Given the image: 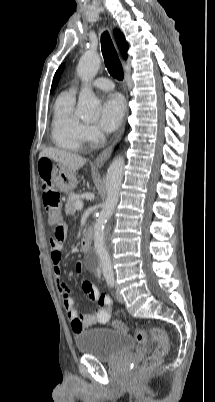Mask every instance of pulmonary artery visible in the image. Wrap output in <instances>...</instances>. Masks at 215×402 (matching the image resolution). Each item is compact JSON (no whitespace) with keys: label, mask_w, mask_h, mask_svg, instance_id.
Returning <instances> with one entry per match:
<instances>
[{"label":"pulmonary artery","mask_w":215,"mask_h":402,"mask_svg":"<svg viewBox=\"0 0 215 402\" xmlns=\"http://www.w3.org/2000/svg\"><path fill=\"white\" fill-rule=\"evenodd\" d=\"M92 85L94 87L102 89V90H112L114 87L113 83L109 79L104 78V77L96 78L92 82ZM72 91L75 92L76 88H73Z\"/></svg>","instance_id":"e3ab8cb5"}]
</instances>
